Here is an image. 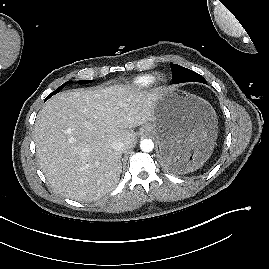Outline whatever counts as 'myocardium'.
Masks as SVG:
<instances>
[{
    "label": "myocardium",
    "instance_id": "myocardium-1",
    "mask_svg": "<svg viewBox=\"0 0 269 269\" xmlns=\"http://www.w3.org/2000/svg\"><path fill=\"white\" fill-rule=\"evenodd\" d=\"M165 76L163 75V74H159V75H157L156 76V78H155V81L157 82V83H164L165 82Z\"/></svg>",
    "mask_w": 269,
    "mask_h": 269
}]
</instances>
